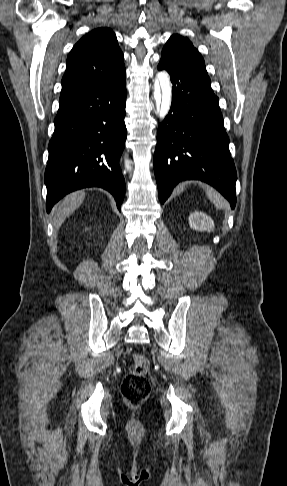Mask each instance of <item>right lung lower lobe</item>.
Segmentation results:
<instances>
[{
  "label": "right lung lower lobe",
  "instance_id": "right-lung-lower-lobe-1",
  "mask_svg": "<svg viewBox=\"0 0 287 486\" xmlns=\"http://www.w3.org/2000/svg\"><path fill=\"white\" fill-rule=\"evenodd\" d=\"M125 101L123 78L60 104L45 170L47 212L66 194L94 186L108 190L120 210L125 195L119 165L127 135Z\"/></svg>",
  "mask_w": 287,
  "mask_h": 486
}]
</instances>
